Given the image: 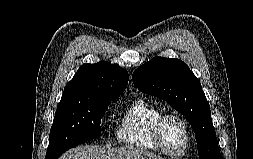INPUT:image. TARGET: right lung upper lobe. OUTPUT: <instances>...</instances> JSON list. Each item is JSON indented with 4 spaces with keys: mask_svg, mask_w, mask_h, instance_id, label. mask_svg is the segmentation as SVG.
<instances>
[{
    "mask_svg": "<svg viewBox=\"0 0 253 159\" xmlns=\"http://www.w3.org/2000/svg\"><path fill=\"white\" fill-rule=\"evenodd\" d=\"M128 79L126 70L106 61L84 64L65 86L61 100L80 97L118 98L126 88Z\"/></svg>",
    "mask_w": 253,
    "mask_h": 159,
    "instance_id": "right-lung-upper-lobe-1",
    "label": "right lung upper lobe"
}]
</instances>
